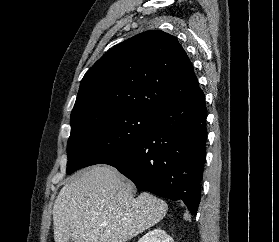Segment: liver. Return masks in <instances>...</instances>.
<instances>
[{
    "mask_svg": "<svg viewBox=\"0 0 279 242\" xmlns=\"http://www.w3.org/2000/svg\"><path fill=\"white\" fill-rule=\"evenodd\" d=\"M115 168L92 166L71 176L53 207L55 242H126L158 223L165 201L143 192Z\"/></svg>",
    "mask_w": 279,
    "mask_h": 242,
    "instance_id": "obj_1",
    "label": "liver"
}]
</instances>
